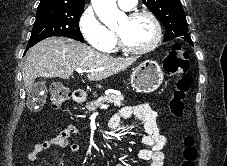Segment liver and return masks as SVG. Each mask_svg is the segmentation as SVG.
Wrapping results in <instances>:
<instances>
[{
  "mask_svg": "<svg viewBox=\"0 0 227 166\" xmlns=\"http://www.w3.org/2000/svg\"><path fill=\"white\" fill-rule=\"evenodd\" d=\"M135 61L132 57L106 55L70 38L50 37L31 48L23 68V81L29 93L36 78L69 79L77 68L88 71L89 80L101 81L125 70Z\"/></svg>",
  "mask_w": 227,
  "mask_h": 166,
  "instance_id": "obj_1",
  "label": "liver"
}]
</instances>
